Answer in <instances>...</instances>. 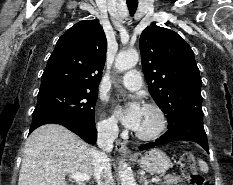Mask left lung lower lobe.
Listing matches in <instances>:
<instances>
[{
	"mask_svg": "<svg viewBox=\"0 0 233 185\" xmlns=\"http://www.w3.org/2000/svg\"><path fill=\"white\" fill-rule=\"evenodd\" d=\"M177 140L196 142L209 153L207 137L203 127V111L190 113L183 120L171 126L156 142L142 145L139 150H146L156 145Z\"/></svg>",
	"mask_w": 233,
	"mask_h": 185,
	"instance_id": "obj_1",
	"label": "left lung lower lobe"
}]
</instances>
